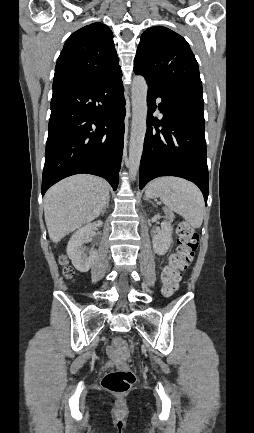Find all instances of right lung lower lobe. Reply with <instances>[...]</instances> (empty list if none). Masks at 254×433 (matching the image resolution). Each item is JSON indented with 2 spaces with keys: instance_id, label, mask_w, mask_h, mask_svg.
<instances>
[{
  "instance_id": "1",
  "label": "right lung lower lobe",
  "mask_w": 254,
  "mask_h": 433,
  "mask_svg": "<svg viewBox=\"0 0 254 433\" xmlns=\"http://www.w3.org/2000/svg\"><path fill=\"white\" fill-rule=\"evenodd\" d=\"M121 76L53 89L42 196L56 182L79 173L103 177L116 190L124 145Z\"/></svg>"
}]
</instances>
